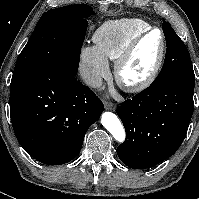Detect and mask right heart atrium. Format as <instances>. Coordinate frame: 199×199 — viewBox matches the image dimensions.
Listing matches in <instances>:
<instances>
[{
    "mask_svg": "<svg viewBox=\"0 0 199 199\" xmlns=\"http://www.w3.org/2000/svg\"><path fill=\"white\" fill-rule=\"evenodd\" d=\"M80 71L90 87L98 88L109 75V65L95 46H85L81 50Z\"/></svg>",
    "mask_w": 199,
    "mask_h": 199,
    "instance_id": "d8ad5b80",
    "label": "right heart atrium"
}]
</instances>
